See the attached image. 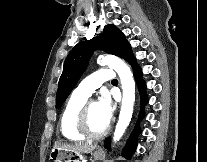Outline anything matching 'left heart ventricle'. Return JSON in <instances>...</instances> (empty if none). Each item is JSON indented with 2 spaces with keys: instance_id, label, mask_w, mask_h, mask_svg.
I'll use <instances>...</instances> for the list:
<instances>
[{
  "instance_id": "obj_1",
  "label": "left heart ventricle",
  "mask_w": 207,
  "mask_h": 162,
  "mask_svg": "<svg viewBox=\"0 0 207 162\" xmlns=\"http://www.w3.org/2000/svg\"><path fill=\"white\" fill-rule=\"evenodd\" d=\"M108 125L98 103L91 105L88 113V126L92 132H99Z\"/></svg>"
}]
</instances>
